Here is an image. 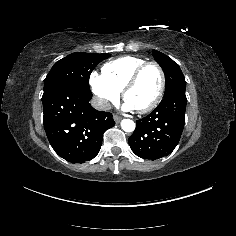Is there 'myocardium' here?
<instances>
[{
	"instance_id": "1",
	"label": "myocardium",
	"mask_w": 236,
	"mask_h": 236,
	"mask_svg": "<svg viewBox=\"0 0 236 236\" xmlns=\"http://www.w3.org/2000/svg\"><path fill=\"white\" fill-rule=\"evenodd\" d=\"M150 66H153L158 70V72L160 74V84H159L158 92H157L155 98L153 99V101L141 109H135L136 112H138L140 114H144V113L152 111L154 108H156L158 106V104L161 102V100L163 98L165 87H166V75H165V71L162 68V66L159 63L154 62V61H148V62L141 64L131 74V76L129 77V79L125 83L123 90H122V97L126 101V95H127L128 91L136 84L141 73L147 67H150Z\"/></svg>"
}]
</instances>
